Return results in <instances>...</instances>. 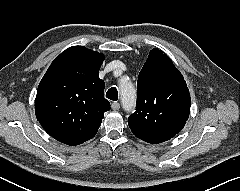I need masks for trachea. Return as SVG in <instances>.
<instances>
[{
    "label": "trachea",
    "mask_w": 240,
    "mask_h": 191,
    "mask_svg": "<svg viewBox=\"0 0 240 191\" xmlns=\"http://www.w3.org/2000/svg\"><path fill=\"white\" fill-rule=\"evenodd\" d=\"M106 97L110 100L116 101L118 99V91L115 87L110 88L107 93Z\"/></svg>",
    "instance_id": "3493384b"
}]
</instances>
